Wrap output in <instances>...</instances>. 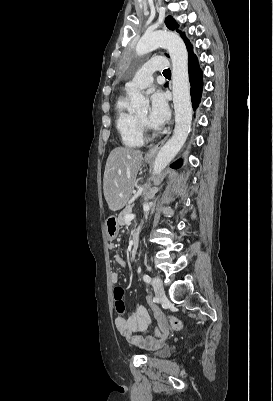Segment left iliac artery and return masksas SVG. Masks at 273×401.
<instances>
[{"label": "left iliac artery", "instance_id": "44dca946", "mask_svg": "<svg viewBox=\"0 0 273 401\" xmlns=\"http://www.w3.org/2000/svg\"><path fill=\"white\" fill-rule=\"evenodd\" d=\"M143 280H144L145 282L149 283V282L151 281V278H150L149 275L145 274V275L143 276Z\"/></svg>", "mask_w": 273, "mask_h": 401}]
</instances>
